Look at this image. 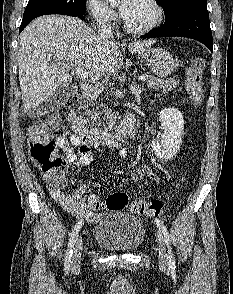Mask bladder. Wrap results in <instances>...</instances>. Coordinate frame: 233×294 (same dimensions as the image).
Here are the masks:
<instances>
[{
  "instance_id": "1",
  "label": "bladder",
  "mask_w": 233,
  "mask_h": 294,
  "mask_svg": "<svg viewBox=\"0 0 233 294\" xmlns=\"http://www.w3.org/2000/svg\"><path fill=\"white\" fill-rule=\"evenodd\" d=\"M145 239V228L136 216L112 211L96 225L95 242L104 249L115 252H130L141 246Z\"/></svg>"
}]
</instances>
